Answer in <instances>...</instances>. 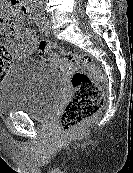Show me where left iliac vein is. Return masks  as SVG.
I'll use <instances>...</instances> for the list:
<instances>
[{"mask_svg": "<svg viewBox=\"0 0 133 173\" xmlns=\"http://www.w3.org/2000/svg\"><path fill=\"white\" fill-rule=\"evenodd\" d=\"M44 33L48 34L51 31V22L48 18L45 19V24H44Z\"/></svg>", "mask_w": 133, "mask_h": 173, "instance_id": "1", "label": "left iliac vein"}]
</instances>
